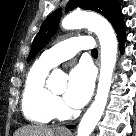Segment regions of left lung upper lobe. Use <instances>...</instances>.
<instances>
[{
	"instance_id": "1",
	"label": "left lung upper lobe",
	"mask_w": 136,
	"mask_h": 136,
	"mask_svg": "<svg viewBox=\"0 0 136 136\" xmlns=\"http://www.w3.org/2000/svg\"><path fill=\"white\" fill-rule=\"evenodd\" d=\"M76 7L100 13L111 22L114 29L123 21L118 0H69L65 11H71ZM61 15L62 9L59 8L50 14L43 22L38 34L34 38L28 61L31 60L55 34Z\"/></svg>"
}]
</instances>
